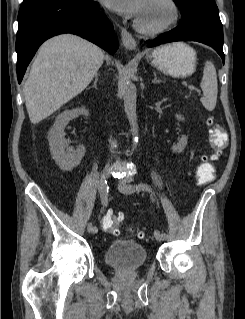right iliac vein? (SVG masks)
<instances>
[{
	"label": "right iliac vein",
	"instance_id": "1",
	"mask_svg": "<svg viewBox=\"0 0 245 319\" xmlns=\"http://www.w3.org/2000/svg\"><path fill=\"white\" fill-rule=\"evenodd\" d=\"M110 171H111V166H110V165H107V166L103 169V171H102V173H101L100 180H99V184H98V186H99V192H100L101 195H102V189H101V187H102L104 181L109 177ZM87 231H88L89 233H92V232H93V231H92V224H91V223H89V224L87 225Z\"/></svg>",
	"mask_w": 245,
	"mask_h": 319
}]
</instances>
